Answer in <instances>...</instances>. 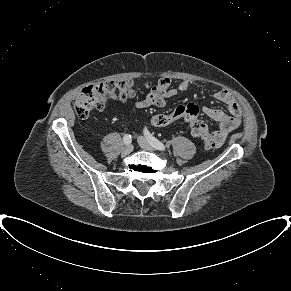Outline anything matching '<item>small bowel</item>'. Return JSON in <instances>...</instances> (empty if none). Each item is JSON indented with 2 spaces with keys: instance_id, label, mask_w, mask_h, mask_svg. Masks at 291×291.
I'll return each instance as SVG.
<instances>
[{
  "instance_id": "1",
  "label": "small bowel",
  "mask_w": 291,
  "mask_h": 291,
  "mask_svg": "<svg viewBox=\"0 0 291 291\" xmlns=\"http://www.w3.org/2000/svg\"><path fill=\"white\" fill-rule=\"evenodd\" d=\"M145 86L150 92L144 99L134 102L136 108L142 109L152 106L162 108L166 105L168 99L189 89L192 86V82L184 80L174 88L169 78H162L156 84L146 83ZM214 98L226 105L228 113L208 106H204L202 111L207 117L218 123V129L213 134L218 142L222 143L230 132L240 126L241 109L228 91L220 90L214 94Z\"/></svg>"
}]
</instances>
